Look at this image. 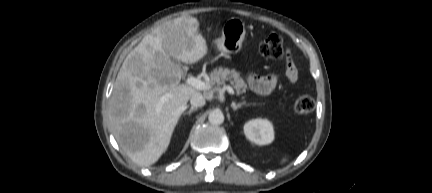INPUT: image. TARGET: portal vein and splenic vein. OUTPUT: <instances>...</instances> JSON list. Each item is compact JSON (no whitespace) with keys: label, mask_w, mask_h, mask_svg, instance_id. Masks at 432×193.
<instances>
[{"label":"portal vein and splenic vein","mask_w":432,"mask_h":193,"mask_svg":"<svg viewBox=\"0 0 432 193\" xmlns=\"http://www.w3.org/2000/svg\"><path fill=\"white\" fill-rule=\"evenodd\" d=\"M186 84L191 85L192 87L199 89V90H209L211 89V84L205 81H202L199 78H195V77H188L186 80ZM225 90H227V92L231 95H234V90L230 85H225L224 86ZM168 97V95H167ZM164 100V98L162 99V101Z\"/></svg>","instance_id":"18ae733b"}]
</instances>
